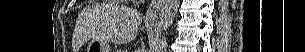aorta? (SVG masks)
Here are the masks:
<instances>
[{"mask_svg": "<svg viewBox=\"0 0 305 52\" xmlns=\"http://www.w3.org/2000/svg\"><path fill=\"white\" fill-rule=\"evenodd\" d=\"M180 5V0H161L159 8V20L161 29L164 32V36L155 41L152 50L154 52H166L167 38H165V33L167 35V30L172 25L176 13Z\"/></svg>", "mask_w": 305, "mask_h": 52, "instance_id": "aorta-1", "label": "aorta"}]
</instances>
